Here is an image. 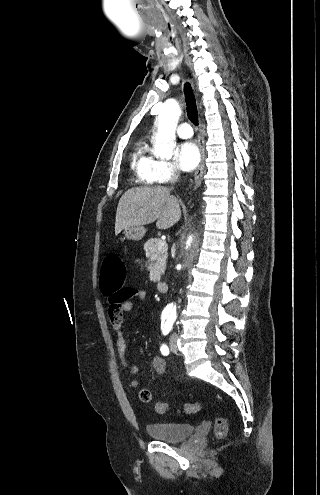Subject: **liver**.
<instances>
[{"label": "liver", "mask_w": 320, "mask_h": 495, "mask_svg": "<svg viewBox=\"0 0 320 495\" xmlns=\"http://www.w3.org/2000/svg\"><path fill=\"white\" fill-rule=\"evenodd\" d=\"M181 218L178 199L166 187H137L126 191L116 212L115 235L130 226L155 221L158 229H168Z\"/></svg>", "instance_id": "liver-1"}]
</instances>
